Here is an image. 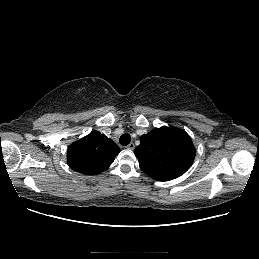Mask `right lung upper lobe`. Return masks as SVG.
I'll list each match as a JSON object with an SVG mask.
<instances>
[{"label":"right lung upper lobe","instance_id":"right-lung-upper-lobe-1","mask_svg":"<svg viewBox=\"0 0 259 259\" xmlns=\"http://www.w3.org/2000/svg\"><path fill=\"white\" fill-rule=\"evenodd\" d=\"M120 148L104 134L92 131L68 147V165L85 175L105 171L119 154Z\"/></svg>","mask_w":259,"mask_h":259}]
</instances>
